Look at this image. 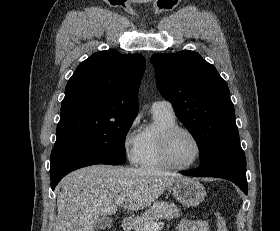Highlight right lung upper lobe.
<instances>
[{
	"label": "right lung upper lobe",
	"mask_w": 280,
	"mask_h": 231,
	"mask_svg": "<svg viewBox=\"0 0 280 231\" xmlns=\"http://www.w3.org/2000/svg\"><path fill=\"white\" fill-rule=\"evenodd\" d=\"M145 67L140 54H121L113 49L94 53L69 79L60 120L105 116L135 119Z\"/></svg>",
	"instance_id": "right-lung-upper-lobe-1"
}]
</instances>
